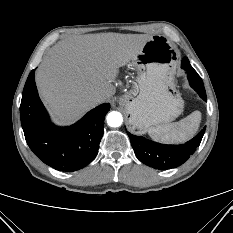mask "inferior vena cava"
I'll use <instances>...</instances> for the list:
<instances>
[{
    "instance_id": "1",
    "label": "inferior vena cava",
    "mask_w": 233,
    "mask_h": 233,
    "mask_svg": "<svg viewBox=\"0 0 233 233\" xmlns=\"http://www.w3.org/2000/svg\"><path fill=\"white\" fill-rule=\"evenodd\" d=\"M105 99V96L103 94L97 93L94 95V100L96 102H102Z\"/></svg>"
}]
</instances>
